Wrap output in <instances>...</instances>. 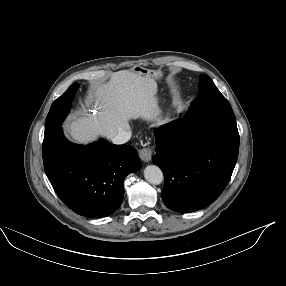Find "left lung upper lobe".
Segmentation results:
<instances>
[{"mask_svg":"<svg viewBox=\"0 0 286 286\" xmlns=\"http://www.w3.org/2000/svg\"><path fill=\"white\" fill-rule=\"evenodd\" d=\"M214 116L235 119L228 100L217 89L213 81L206 75L200 76L199 92L186 113L187 118Z\"/></svg>","mask_w":286,"mask_h":286,"instance_id":"1","label":"left lung upper lobe"}]
</instances>
